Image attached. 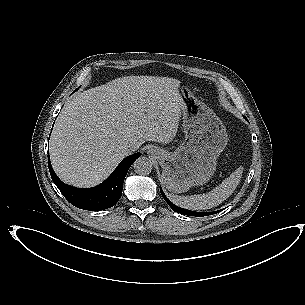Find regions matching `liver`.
Returning <instances> with one entry per match:
<instances>
[{
  "label": "liver",
  "mask_w": 305,
  "mask_h": 305,
  "mask_svg": "<svg viewBox=\"0 0 305 305\" xmlns=\"http://www.w3.org/2000/svg\"><path fill=\"white\" fill-rule=\"evenodd\" d=\"M180 82L164 78L158 87L176 93ZM178 109L155 108L137 77H123L72 97L50 140L54 171L65 183L91 187L105 180L126 157L127 142L169 143L177 133Z\"/></svg>",
  "instance_id": "obj_1"
}]
</instances>
